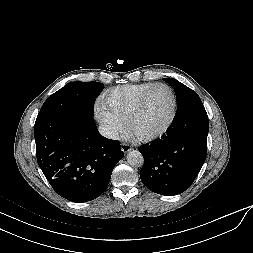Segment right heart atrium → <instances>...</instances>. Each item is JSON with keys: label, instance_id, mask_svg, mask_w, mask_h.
I'll return each instance as SVG.
<instances>
[{"label": "right heart atrium", "instance_id": "d8ad5b80", "mask_svg": "<svg viewBox=\"0 0 253 253\" xmlns=\"http://www.w3.org/2000/svg\"><path fill=\"white\" fill-rule=\"evenodd\" d=\"M95 114L110 137L116 138L121 132H123L124 124L110 112L103 102L96 103Z\"/></svg>", "mask_w": 253, "mask_h": 253}]
</instances>
